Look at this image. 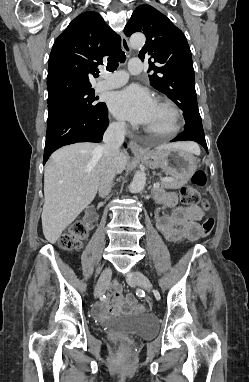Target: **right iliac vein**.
<instances>
[{
    "instance_id": "1",
    "label": "right iliac vein",
    "mask_w": 249,
    "mask_h": 382,
    "mask_svg": "<svg viewBox=\"0 0 249 382\" xmlns=\"http://www.w3.org/2000/svg\"><path fill=\"white\" fill-rule=\"evenodd\" d=\"M111 274H112V271H111V268H106L102 273H101V276L97 282V285L95 287V294L96 295H101L105 289H106V286L111 278Z\"/></svg>"
}]
</instances>
